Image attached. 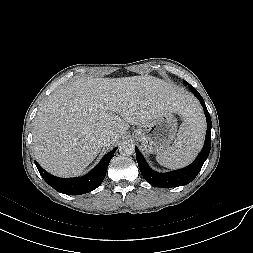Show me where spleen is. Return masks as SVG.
Returning a JSON list of instances; mask_svg holds the SVG:
<instances>
[{
	"label": "spleen",
	"instance_id": "obj_1",
	"mask_svg": "<svg viewBox=\"0 0 253 253\" xmlns=\"http://www.w3.org/2000/svg\"><path fill=\"white\" fill-rule=\"evenodd\" d=\"M205 129L203 114L190 102L174 143L164 152L157 154V162L171 169L190 164L202 148Z\"/></svg>",
	"mask_w": 253,
	"mask_h": 253
}]
</instances>
